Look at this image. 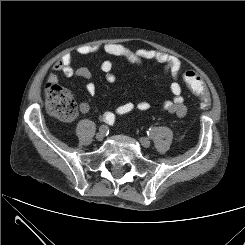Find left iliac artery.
<instances>
[{"mask_svg":"<svg viewBox=\"0 0 245 245\" xmlns=\"http://www.w3.org/2000/svg\"><path fill=\"white\" fill-rule=\"evenodd\" d=\"M156 130L154 128H149V130L147 131V134L149 137H153L155 135Z\"/></svg>","mask_w":245,"mask_h":245,"instance_id":"obj_1","label":"left iliac artery"}]
</instances>
